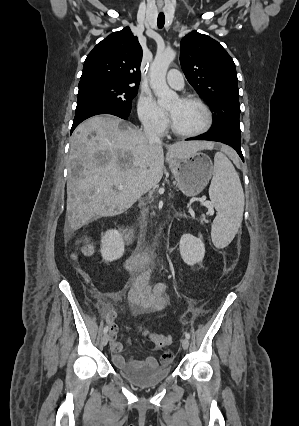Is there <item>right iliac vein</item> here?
I'll return each instance as SVG.
<instances>
[{"mask_svg": "<svg viewBox=\"0 0 299 426\" xmlns=\"http://www.w3.org/2000/svg\"><path fill=\"white\" fill-rule=\"evenodd\" d=\"M109 339H110V335H109V334H105V335L102 337V344H103V345H106V344L108 343Z\"/></svg>", "mask_w": 299, "mask_h": 426, "instance_id": "obj_1", "label": "right iliac vein"}]
</instances>
